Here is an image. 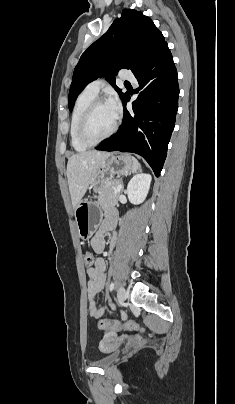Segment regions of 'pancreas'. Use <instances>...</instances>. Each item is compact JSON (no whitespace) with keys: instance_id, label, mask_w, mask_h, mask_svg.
I'll return each mask as SVG.
<instances>
[{"instance_id":"pancreas-1","label":"pancreas","mask_w":235,"mask_h":404,"mask_svg":"<svg viewBox=\"0 0 235 404\" xmlns=\"http://www.w3.org/2000/svg\"><path fill=\"white\" fill-rule=\"evenodd\" d=\"M121 183V179H112L101 186L98 195V203L102 208H107L118 202L120 192L114 193V191Z\"/></svg>"}]
</instances>
